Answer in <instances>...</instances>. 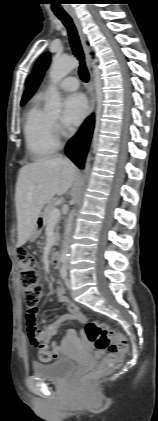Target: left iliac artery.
<instances>
[{
  "mask_svg": "<svg viewBox=\"0 0 158 421\" xmlns=\"http://www.w3.org/2000/svg\"><path fill=\"white\" fill-rule=\"evenodd\" d=\"M67 269H68L67 262H64L63 265H62V267H61V270H60V274H61V277L62 278H66V276H67Z\"/></svg>",
  "mask_w": 158,
  "mask_h": 421,
  "instance_id": "44dca946",
  "label": "left iliac artery"
}]
</instances>
